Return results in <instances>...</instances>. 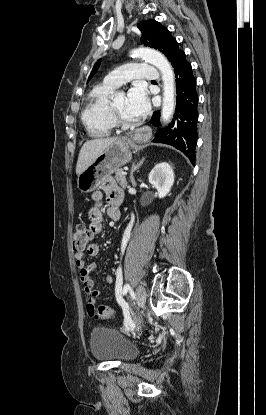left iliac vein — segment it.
Masks as SVG:
<instances>
[{
	"instance_id": "4c4485c4",
	"label": "left iliac vein",
	"mask_w": 266,
	"mask_h": 415,
	"mask_svg": "<svg viewBox=\"0 0 266 415\" xmlns=\"http://www.w3.org/2000/svg\"><path fill=\"white\" fill-rule=\"evenodd\" d=\"M146 301V291L142 286L136 289V305L138 308H143Z\"/></svg>"
}]
</instances>
